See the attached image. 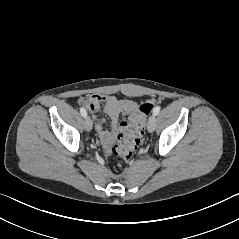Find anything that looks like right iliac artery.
Returning <instances> with one entry per match:
<instances>
[{
    "label": "right iliac artery",
    "instance_id": "82829eb1",
    "mask_svg": "<svg viewBox=\"0 0 239 239\" xmlns=\"http://www.w3.org/2000/svg\"><path fill=\"white\" fill-rule=\"evenodd\" d=\"M80 113L83 117H86L87 116V112L84 108H80Z\"/></svg>",
    "mask_w": 239,
    "mask_h": 239
}]
</instances>
